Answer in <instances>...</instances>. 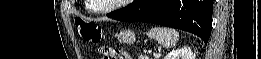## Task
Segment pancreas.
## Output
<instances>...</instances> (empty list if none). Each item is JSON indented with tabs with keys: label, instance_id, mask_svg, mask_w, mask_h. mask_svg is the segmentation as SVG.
<instances>
[{
	"label": "pancreas",
	"instance_id": "pancreas-1",
	"mask_svg": "<svg viewBox=\"0 0 261 59\" xmlns=\"http://www.w3.org/2000/svg\"><path fill=\"white\" fill-rule=\"evenodd\" d=\"M139 59H149V57L147 55H142L139 57Z\"/></svg>",
	"mask_w": 261,
	"mask_h": 59
}]
</instances>
